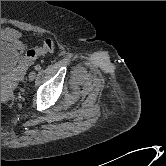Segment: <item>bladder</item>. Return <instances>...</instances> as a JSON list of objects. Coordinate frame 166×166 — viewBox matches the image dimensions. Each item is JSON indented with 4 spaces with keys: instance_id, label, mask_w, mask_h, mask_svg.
Listing matches in <instances>:
<instances>
[{
    "instance_id": "obj_1",
    "label": "bladder",
    "mask_w": 166,
    "mask_h": 166,
    "mask_svg": "<svg viewBox=\"0 0 166 166\" xmlns=\"http://www.w3.org/2000/svg\"><path fill=\"white\" fill-rule=\"evenodd\" d=\"M20 62V54L14 45L1 40V76L8 75L15 79Z\"/></svg>"
}]
</instances>
